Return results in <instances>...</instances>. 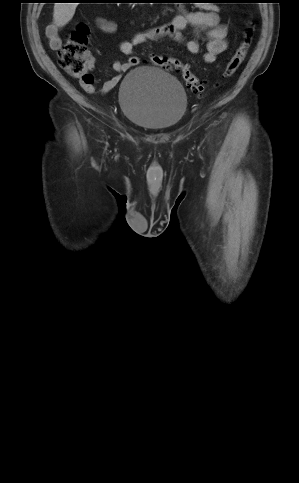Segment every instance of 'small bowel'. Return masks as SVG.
I'll return each mask as SVG.
<instances>
[{"mask_svg":"<svg viewBox=\"0 0 299 483\" xmlns=\"http://www.w3.org/2000/svg\"><path fill=\"white\" fill-rule=\"evenodd\" d=\"M218 12L217 6L192 12L181 7L179 13L170 22L138 32L130 41H123L119 49L122 54L128 56V59L125 62L115 61L113 63L116 74L104 83L103 91L113 89L121 81L124 73L139 63L138 57L134 55L135 49L148 41L169 38L183 44L190 53L197 54L200 51L199 39L203 37L206 40L203 60L207 64L215 63L218 56L228 47L226 40L228 27L219 23ZM96 25L104 33H114L117 29L115 22L103 18L97 19ZM190 26L194 28L192 38H188L185 34L186 29ZM46 35L50 47L55 50L59 49L62 40L57 25H48ZM87 62L89 69L92 70L95 59L90 53L87 54Z\"/></svg>","mask_w":299,"mask_h":483,"instance_id":"small-bowel-1","label":"small bowel"}]
</instances>
